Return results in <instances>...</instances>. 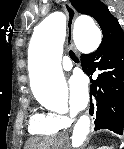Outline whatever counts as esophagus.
<instances>
[{
	"instance_id": "34e87169",
	"label": "esophagus",
	"mask_w": 124,
	"mask_h": 149,
	"mask_svg": "<svg viewBox=\"0 0 124 149\" xmlns=\"http://www.w3.org/2000/svg\"><path fill=\"white\" fill-rule=\"evenodd\" d=\"M64 8L67 14V44L70 48H72L73 47L72 30H73L74 20L77 16V12L69 2H65ZM93 117H95V111L91 113V118Z\"/></svg>"
}]
</instances>
